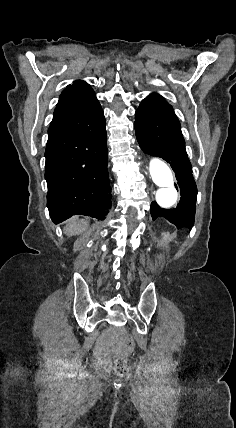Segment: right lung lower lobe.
Segmentation results:
<instances>
[{
    "label": "right lung lower lobe",
    "mask_w": 236,
    "mask_h": 428,
    "mask_svg": "<svg viewBox=\"0 0 236 428\" xmlns=\"http://www.w3.org/2000/svg\"><path fill=\"white\" fill-rule=\"evenodd\" d=\"M106 121L101 108L53 118L45 151L47 207L54 223L104 219L111 208Z\"/></svg>",
    "instance_id": "right-lung-lower-lobe-1"
}]
</instances>
